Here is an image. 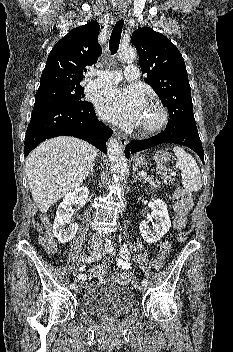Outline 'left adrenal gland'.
Here are the masks:
<instances>
[{
	"mask_svg": "<svg viewBox=\"0 0 233 352\" xmlns=\"http://www.w3.org/2000/svg\"><path fill=\"white\" fill-rule=\"evenodd\" d=\"M133 177H134L133 182H136L137 180H140V181H141V179H140V178H138V176H137L136 172H133Z\"/></svg>",
	"mask_w": 233,
	"mask_h": 352,
	"instance_id": "a2214340",
	"label": "left adrenal gland"
}]
</instances>
